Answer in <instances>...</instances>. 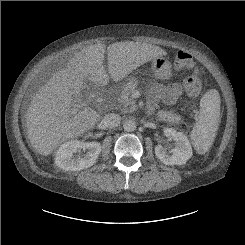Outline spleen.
<instances>
[{
    "mask_svg": "<svg viewBox=\"0 0 245 245\" xmlns=\"http://www.w3.org/2000/svg\"><path fill=\"white\" fill-rule=\"evenodd\" d=\"M220 120V95L215 89L207 91L200 100L198 120L191 131L192 144L199 154L212 146Z\"/></svg>",
    "mask_w": 245,
    "mask_h": 245,
    "instance_id": "obj_1",
    "label": "spleen"
}]
</instances>
